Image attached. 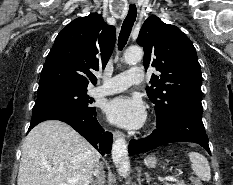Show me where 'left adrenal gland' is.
<instances>
[{"instance_id": "left-adrenal-gland-1", "label": "left adrenal gland", "mask_w": 233, "mask_h": 185, "mask_svg": "<svg viewBox=\"0 0 233 185\" xmlns=\"http://www.w3.org/2000/svg\"><path fill=\"white\" fill-rule=\"evenodd\" d=\"M145 177H146L147 183H150V182H151V177H150V175L148 174V172H145Z\"/></svg>"}]
</instances>
